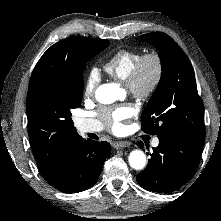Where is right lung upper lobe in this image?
Wrapping results in <instances>:
<instances>
[{"label":"right lung upper lobe","instance_id":"obj_1","mask_svg":"<svg viewBox=\"0 0 221 221\" xmlns=\"http://www.w3.org/2000/svg\"><path fill=\"white\" fill-rule=\"evenodd\" d=\"M84 37H71L52 45L39 59L29 83L26 101L28 133L36 164L44 177L56 168L59 157L72 143L81 139L72 126L50 124L35 117L33 104L41 84L62 66L74 62Z\"/></svg>","mask_w":221,"mask_h":221}]
</instances>
